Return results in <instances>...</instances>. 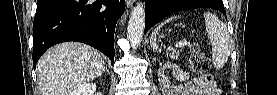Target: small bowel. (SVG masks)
Returning <instances> with one entry per match:
<instances>
[{
    "label": "small bowel",
    "instance_id": "small-bowel-1",
    "mask_svg": "<svg viewBox=\"0 0 277 95\" xmlns=\"http://www.w3.org/2000/svg\"><path fill=\"white\" fill-rule=\"evenodd\" d=\"M177 78L184 82L181 87H172L166 90V95H216L214 84L207 76H194L188 70H180Z\"/></svg>",
    "mask_w": 277,
    "mask_h": 95
}]
</instances>
